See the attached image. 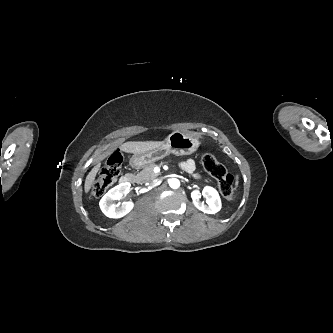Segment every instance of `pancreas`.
Instances as JSON below:
<instances>
[{
    "label": "pancreas",
    "mask_w": 333,
    "mask_h": 333,
    "mask_svg": "<svg viewBox=\"0 0 333 333\" xmlns=\"http://www.w3.org/2000/svg\"><path fill=\"white\" fill-rule=\"evenodd\" d=\"M156 166H158V164L154 162L146 165L143 170L136 175L137 182L142 184L151 182L153 179H155L158 176V174L154 172V168Z\"/></svg>",
    "instance_id": "pancreas-1"
}]
</instances>
